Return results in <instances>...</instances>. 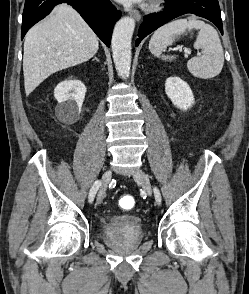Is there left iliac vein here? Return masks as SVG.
I'll list each match as a JSON object with an SVG mask.
<instances>
[{
  "label": "left iliac vein",
  "instance_id": "1",
  "mask_svg": "<svg viewBox=\"0 0 249 294\" xmlns=\"http://www.w3.org/2000/svg\"><path fill=\"white\" fill-rule=\"evenodd\" d=\"M133 178L142 186L143 190L147 193V195H152V186L150 183V179L144 171L140 169L136 170V172L133 175Z\"/></svg>",
  "mask_w": 249,
  "mask_h": 294
}]
</instances>
